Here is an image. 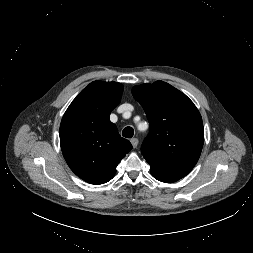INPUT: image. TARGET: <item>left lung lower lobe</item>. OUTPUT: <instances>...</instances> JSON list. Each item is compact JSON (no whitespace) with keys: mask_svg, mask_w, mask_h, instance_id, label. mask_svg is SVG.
<instances>
[{"mask_svg":"<svg viewBox=\"0 0 253 253\" xmlns=\"http://www.w3.org/2000/svg\"><path fill=\"white\" fill-rule=\"evenodd\" d=\"M151 174L155 179H157L161 182H165V183H172V182H175V181L179 180L178 178L171 177V176H166V175H163V174H160V173H157V172H152L151 171Z\"/></svg>","mask_w":253,"mask_h":253,"instance_id":"obj_1","label":"left lung lower lobe"}]
</instances>
